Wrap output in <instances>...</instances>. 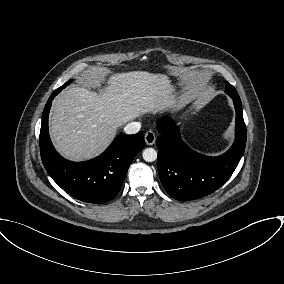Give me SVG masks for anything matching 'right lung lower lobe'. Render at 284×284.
<instances>
[{
	"label": "right lung lower lobe",
	"mask_w": 284,
	"mask_h": 284,
	"mask_svg": "<svg viewBox=\"0 0 284 284\" xmlns=\"http://www.w3.org/2000/svg\"><path fill=\"white\" fill-rule=\"evenodd\" d=\"M48 99L40 130V153L52 179L72 197L88 203H105L119 192L134 157L145 147L144 132L121 135L98 157L85 162H71L54 149L48 133L52 100Z\"/></svg>",
	"instance_id": "98d812e1"
}]
</instances>
